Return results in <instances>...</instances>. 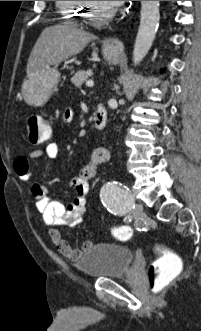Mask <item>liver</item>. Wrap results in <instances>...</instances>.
<instances>
[{
    "instance_id": "liver-1",
    "label": "liver",
    "mask_w": 201,
    "mask_h": 331,
    "mask_svg": "<svg viewBox=\"0 0 201 331\" xmlns=\"http://www.w3.org/2000/svg\"><path fill=\"white\" fill-rule=\"evenodd\" d=\"M97 37L70 24L45 28L35 43L27 63V76L55 66L83 51Z\"/></svg>"
}]
</instances>
